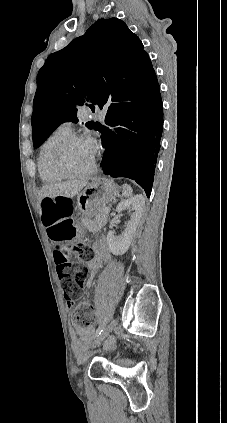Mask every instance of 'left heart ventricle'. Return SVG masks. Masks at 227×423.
<instances>
[{"label": "left heart ventricle", "instance_id": "1", "mask_svg": "<svg viewBox=\"0 0 227 423\" xmlns=\"http://www.w3.org/2000/svg\"><path fill=\"white\" fill-rule=\"evenodd\" d=\"M96 156L87 143H77L67 152L66 162L71 171L81 173L88 170Z\"/></svg>", "mask_w": 227, "mask_h": 423}]
</instances>
